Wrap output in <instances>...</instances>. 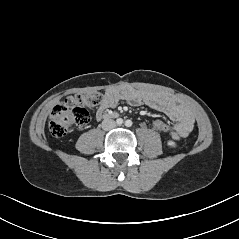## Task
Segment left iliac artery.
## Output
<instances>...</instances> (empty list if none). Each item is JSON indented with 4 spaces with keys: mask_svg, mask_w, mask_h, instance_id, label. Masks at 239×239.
Listing matches in <instances>:
<instances>
[{
    "mask_svg": "<svg viewBox=\"0 0 239 239\" xmlns=\"http://www.w3.org/2000/svg\"><path fill=\"white\" fill-rule=\"evenodd\" d=\"M132 121L131 120H126V122H125V125L127 126V127H131L132 126Z\"/></svg>",
    "mask_w": 239,
    "mask_h": 239,
    "instance_id": "left-iliac-artery-1",
    "label": "left iliac artery"
}]
</instances>
